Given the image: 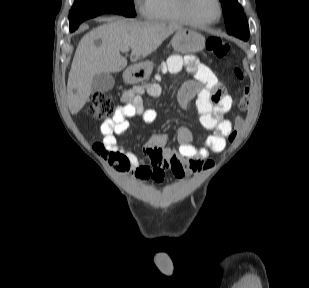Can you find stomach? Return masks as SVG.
Listing matches in <instances>:
<instances>
[{"label": "stomach", "instance_id": "0dacf381", "mask_svg": "<svg viewBox=\"0 0 309 288\" xmlns=\"http://www.w3.org/2000/svg\"><path fill=\"white\" fill-rule=\"evenodd\" d=\"M172 47L180 54L197 53L204 49L205 38L200 33L180 28L172 38ZM153 69L151 61H143L132 65L123 74L125 82L136 84L149 79Z\"/></svg>", "mask_w": 309, "mask_h": 288}]
</instances>
